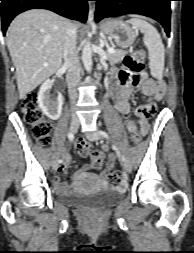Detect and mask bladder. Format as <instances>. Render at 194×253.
I'll list each match as a JSON object with an SVG mask.
<instances>
[{
	"instance_id": "31cf9c89",
	"label": "bladder",
	"mask_w": 194,
	"mask_h": 253,
	"mask_svg": "<svg viewBox=\"0 0 194 253\" xmlns=\"http://www.w3.org/2000/svg\"><path fill=\"white\" fill-rule=\"evenodd\" d=\"M123 196L122 190L115 187H106L91 192H71L59 196L58 199L70 206L103 209L117 203Z\"/></svg>"
}]
</instances>
